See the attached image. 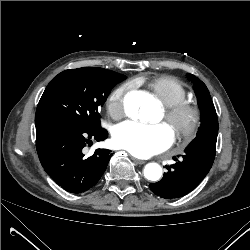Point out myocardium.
<instances>
[{"label":"myocardium","instance_id":"1","mask_svg":"<svg viewBox=\"0 0 250 250\" xmlns=\"http://www.w3.org/2000/svg\"><path fill=\"white\" fill-rule=\"evenodd\" d=\"M201 110L194 102L182 99L165 106L164 122L181 147L188 145L196 136L201 124Z\"/></svg>","mask_w":250,"mask_h":250}]
</instances>
